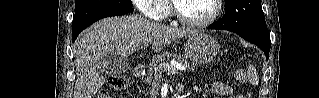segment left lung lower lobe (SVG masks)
Returning a JSON list of instances; mask_svg holds the SVG:
<instances>
[{"label":"left lung lower lobe","mask_w":319,"mask_h":98,"mask_svg":"<svg viewBox=\"0 0 319 98\" xmlns=\"http://www.w3.org/2000/svg\"><path fill=\"white\" fill-rule=\"evenodd\" d=\"M210 29H219L217 26H215L214 24H211L209 26ZM238 35H240L242 38H244L245 40L256 44L259 48H261L265 55L266 58H269V51H270V36L269 35H263V34H242V33H237Z\"/></svg>","instance_id":"1"}]
</instances>
